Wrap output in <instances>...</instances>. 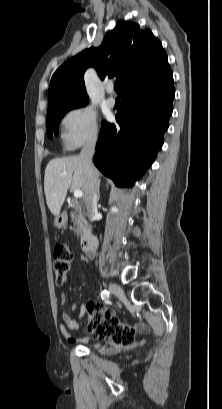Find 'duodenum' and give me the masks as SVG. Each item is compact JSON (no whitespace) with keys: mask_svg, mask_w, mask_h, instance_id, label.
I'll return each mask as SVG.
<instances>
[{"mask_svg":"<svg viewBox=\"0 0 222 409\" xmlns=\"http://www.w3.org/2000/svg\"><path fill=\"white\" fill-rule=\"evenodd\" d=\"M82 247L84 251L88 255H92L94 251L97 249L98 242L97 239L94 235L88 234V235H83L82 240Z\"/></svg>","mask_w":222,"mask_h":409,"instance_id":"duodenum-1","label":"duodenum"}]
</instances>
